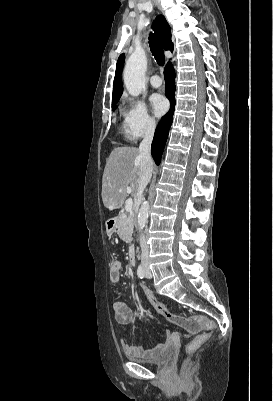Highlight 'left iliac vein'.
I'll return each instance as SVG.
<instances>
[{
    "mask_svg": "<svg viewBox=\"0 0 273 401\" xmlns=\"http://www.w3.org/2000/svg\"><path fill=\"white\" fill-rule=\"evenodd\" d=\"M145 276H146L147 278L152 277V274H151V271H150V269H149L148 263H145Z\"/></svg>",
    "mask_w": 273,
    "mask_h": 401,
    "instance_id": "4c4485c4",
    "label": "left iliac vein"
}]
</instances>
